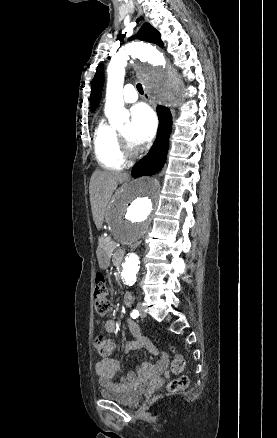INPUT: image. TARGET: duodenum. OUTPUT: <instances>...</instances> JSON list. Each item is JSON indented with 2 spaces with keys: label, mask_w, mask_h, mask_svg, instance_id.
Listing matches in <instances>:
<instances>
[{
  "label": "duodenum",
  "mask_w": 277,
  "mask_h": 438,
  "mask_svg": "<svg viewBox=\"0 0 277 438\" xmlns=\"http://www.w3.org/2000/svg\"><path fill=\"white\" fill-rule=\"evenodd\" d=\"M125 254L123 251H116L113 255V261L116 266H121L124 260Z\"/></svg>",
  "instance_id": "obj_1"
}]
</instances>
